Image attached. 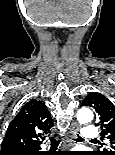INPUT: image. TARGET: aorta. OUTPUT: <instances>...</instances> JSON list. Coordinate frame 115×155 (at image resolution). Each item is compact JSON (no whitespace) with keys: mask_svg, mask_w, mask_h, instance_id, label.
<instances>
[{"mask_svg":"<svg viewBox=\"0 0 115 155\" xmlns=\"http://www.w3.org/2000/svg\"><path fill=\"white\" fill-rule=\"evenodd\" d=\"M93 112L88 107H83L77 112V120L81 124L89 123L93 120Z\"/></svg>","mask_w":115,"mask_h":155,"instance_id":"1","label":"aorta"}]
</instances>
